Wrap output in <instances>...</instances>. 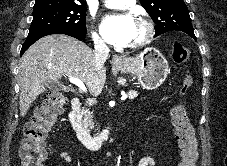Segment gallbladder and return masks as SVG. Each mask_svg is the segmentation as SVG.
<instances>
[{
    "mask_svg": "<svg viewBox=\"0 0 227 166\" xmlns=\"http://www.w3.org/2000/svg\"><path fill=\"white\" fill-rule=\"evenodd\" d=\"M45 87H46V88H49V89L60 87V88L63 89V90H67L66 87H64V86H62V85H59V84H57V83H48V84H46Z\"/></svg>",
    "mask_w": 227,
    "mask_h": 166,
    "instance_id": "gallbladder-1",
    "label": "gallbladder"
}]
</instances>
